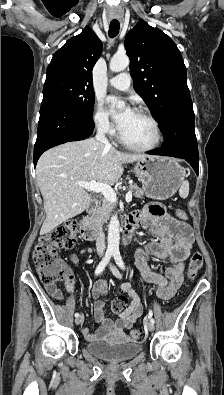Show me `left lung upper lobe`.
Segmentation results:
<instances>
[{"mask_svg":"<svg viewBox=\"0 0 224 395\" xmlns=\"http://www.w3.org/2000/svg\"><path fill=\"white\" fill-rule=\"evenodd\" d=\"M125 49L136 92L148 105L160 129L172 113L192 108L186 67L176 44L144 20L127 34Z\"/></svg>","mask_w":224,"mask_h":395,"instance_id":"left-lung-upper-lobe-1","label":"left lung upper lobe"}]
</instances>
